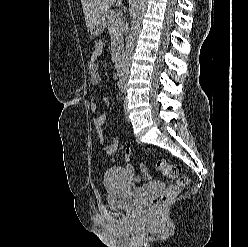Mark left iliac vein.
<instances>
[{"label": "left iliac vein", "mask_w": 248, "mask_h": 247, "mask_svg": "<svg viewBox=\"0 0 248 247\" xmlns=\"http://www.w3.org/2000/svg\"><path fill=\"white\" fill-rule=\"evenodd\" d=\"M124 111H125V117L128 119V112H127V99H124Z\"/></svg>", "instance_id": "4c4485c4"}]
</instances>
